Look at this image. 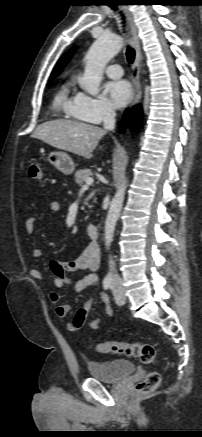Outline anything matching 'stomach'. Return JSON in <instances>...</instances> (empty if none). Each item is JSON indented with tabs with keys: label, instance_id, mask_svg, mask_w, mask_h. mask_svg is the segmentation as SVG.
I'll use <instances>...</instances> for the list:
<instances>
[{
	"label": "stomach",
	"instance_id": "obj_1",
	"mask_svg": "<svg viewBox=\"0 0 202 437\" xmlns=\"http://www.w3.org/2000/svg\"><path fill=\"white\" fill-rule=\"evenodd\" d=\"M47 160L60 172L65 175H70L75 169V164L72 158L65 152L53 151L50 152Z\"/></svg>",
	"mask_w": 202,
	"mask_h": 437
}]
</instances>
